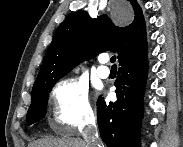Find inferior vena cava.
Here are the masks:
<instances>
[{
    "label": "inferior vena cava",
    "mask_w": 183,
    "mask_h": 147,
    "mask_svg": "<svg viewBox=\"0 0 183 147\" xmlns=\"http://www.w3.org/2000/svg\"><path fill=\"white\" fill-rule=\"evenodd\" d=\"M84 140L87 147H102V141L98 136V130L95 123H92L88 129L83 133Z\"/></svg>",
    "instance_id": "602c4592"
}]
</instances>
